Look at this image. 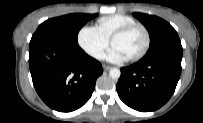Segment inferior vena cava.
Here are the masks:
<instances>
[{"instance_id":"602c4592","label":"inferior vena cava","mask_w":203,"mask_h":123,"mask_svg":"<svg viewBox=\"0 0 203 123\" xmlns=\"http://www.w3.org/2000/svg\"><path fill=\"white\" fill-rule=\"evenodd\" d=\"M95 57H96L97 59H103V58H104V53H103V52H97V53L95 54Z\"/></svg>"}]
</instances>
